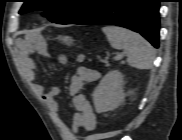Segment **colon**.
Listing matches in <instances>:
<instances>
[{
    "label": "colon",
    "mask_w": 182,
    "mask_h": 140,
    "mask_svg": "<svg viewBox=\"0 0 182 140\" xmlns=\"http://www.w3.org/2000/svg\"><path fill=\"white\" fill-rule=\"evenodd\" d=\"M94 139V136H88L86 138H84L83 140H93Z\"/></svg>",
    "instance_id": "colon-1"
}]
</instances>
